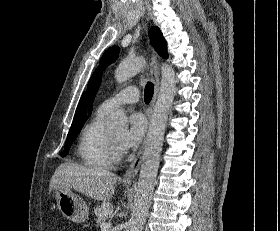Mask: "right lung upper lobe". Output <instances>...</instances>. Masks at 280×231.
Listing matches in <instances>:
<instances>
[{
	"instance_id": "right-lung-upper-lobe-1",
	"label": "right lung upper lobe",
	"mask_w": 280,
	"mask_h": 231,
	"mask_svg": "<svg viewBox=\"0 0 280 231\" xmlns=\"http://www.w3.org/2000/svg\"><path fill=\"white\" fill-rule=\"evenodd\" d=\"M85 93H83L80 102L78 104L73 123L71 125V128L81 127L85 123V117H86V101H85ZM70 128V129H71Z\"/></svg>"
}]
</instances>
